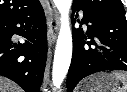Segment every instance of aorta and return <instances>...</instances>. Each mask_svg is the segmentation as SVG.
<instances>
[{
	"instance_id": "aorta-1",
	"label": "aorta",
	"mask_w": 127,
	"mask_h": 92,
	"mask_svg": "<svg viewBox=\"0 0 127 92\" xmlns=\"http://www.w3.org/2000/svg\"><path fill=\"white\" fill-rule=\"evenodd\" d=\"M54 3L61 15V26L54 54L52 82L59 88L67 75L72 58V34L69 23L72 0H54Z\"/></svg>"
}]
</instances>
